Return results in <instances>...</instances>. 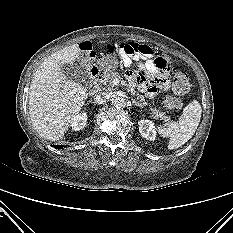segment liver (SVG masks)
I'll use <instances>...</instances> for the list:
<instances>
[{
    "instance_id": "6515ba94",
    "label": "liver",
    "mask_w": 233,
    "mask_h": 233,
    "mask_svg": "<svg viewBox=\"0 0 233 233\" xmlns=\"http://www.w3.org/2000/svg\"><path fill=\"white\" fill-rule=\"evenodd\" d=\"M79 55L78 44L65 47L48 56L34 73L29 88V114L45 139L62 138L88 97L84 86L61 72L63 64H73Z\"/></svg>"
}]
</instances>
